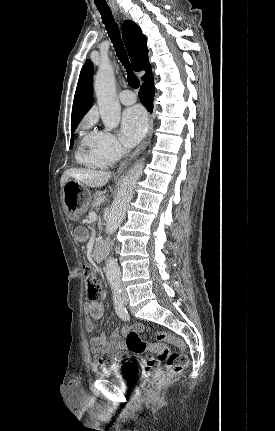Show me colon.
Segmentation results:
<instances>
[{"label":"colon","mask_w":275,"mask_h":431,"mask_svg":"<svg viewBox=\"0 0 275 431\" xmlns=\"http://www.w3.org/2000/svg\"><path fill=\"white\" fill-rule=\"evenodd\" d=\"M83 274L89 297L92 299L98 298L102 293V282L98 269L85 264ZM154 336L159 341L167 342L180 348L181 351L171 352L165 346L151 344L143 340L134 331H130L125 337V345L130 352L135 354L156 352L159 360L166 362L164 367H159L155 358L147 356L146 371L151 375L147 390L151 393L160 390L174 374L181 372L188 365V356L184 352V343L180 338L163 331L155 332ZM98 359L102 365H108L111 362L108 355H102Z\"/></svg>","instance_id":"obj_1"}]
</instances>
